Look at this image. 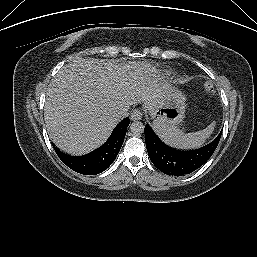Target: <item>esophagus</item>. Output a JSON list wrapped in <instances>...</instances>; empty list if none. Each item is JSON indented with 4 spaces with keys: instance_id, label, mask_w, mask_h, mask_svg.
<instances>
[{
    "instance_id": "esophagus-1",
    "label": "esophagus",
    "mask_w": 257,
    "mask_h": 257,
    "mask_svg": "<svg viewBox=\"0 0 257 257\" xmlns=\"http://www.w3.org/2000/svg\"><path fill=\"white\" fill-rule=\"evenodd\" d=\"M142 111L139 109H135L132 111L131 113V120L136 121V120H140L142 118Z\"/></svg>"
}]
</instances>
